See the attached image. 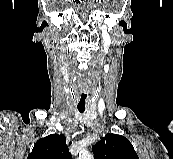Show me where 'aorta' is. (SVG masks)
<instances>
[{
    "instance_id": "1",
    "label": "aorta",
    "mask_w": 173,
    "mask_h": 159,
    "mask_svg": "<svg viewBox=\"0 0 173 159\" xmlns=\"http://www.w3.org/2000/svg\"><path fill=\"white\" fill-rule=\"evenodd\" d=\"M78 159H93L92 155L87 151H81Z\"/></svg>"
}]
</instances>
